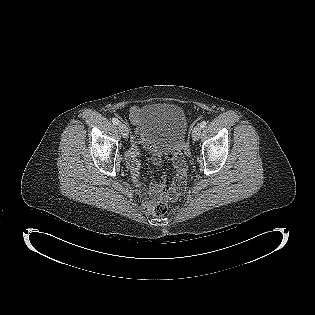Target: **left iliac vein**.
Segmentation results:
<instances>
[{"instance_id": "1", "label": "left iliac vein", "mask_w": 315, "mask_h": 315, "mask_svg": "<svg viewBox=\"0 0 315 315\" xmlns=\"http://www.w3.org/2000/svg\"><path fill=\"white\" fill-rule=\"evenodd\" d=\"M201 132H202V128L199 125L195 126L193 131H192V138L195 141L199 140Z\"/></svg>"}]
</instances>
